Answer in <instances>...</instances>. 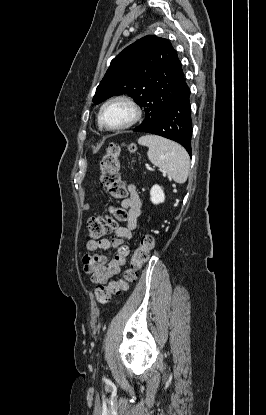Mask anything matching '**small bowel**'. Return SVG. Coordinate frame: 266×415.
Returning <instances> with one entry per match:
<instances>
[{
    "label": "small bowel",
    "mask_w": 266,
    "mask_h": 415,
    "mask_svg": "<svg viewBox=\"0 0 266 415\" xmlns=\"http://www.w3.org/2000/svg\"><path fill=\"white\" fill-rule=\"evenodd\" d=\"M127 210L123 223L115 230L113 239L102 238L87 241L86 248L90 252L98 249H116L117 252L112 259L103 254H86L83 256V269L90 275L91 281L95 284H105L112 277L119 274L121 267L125 264L129 254L128 245L124 240L132 238V230L135 229L137 220L141 214V200L134 186H129V196L122 203Z\"/></svg>",
    "instance_id": "small-bowel-1"
}]
</instances>
